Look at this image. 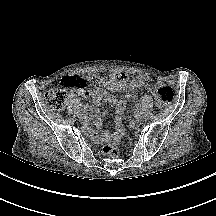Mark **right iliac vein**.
<instances>
[{
	"label": "right iliac vein",
	"instance_id": "1",
	"mask_svg": "<svg viewBox=\"0 0 216 216\" xmlns=\"http://www.w3.org/2000/svg\"><path fill=\"white\" fill-rule=\"evenodd\" d=\"M79 119L81 121H84L86 119V115L85 114H79Z\"/></svg>",
	"mask_w": 216,
	"mask_h": 216
}]
</instances>
